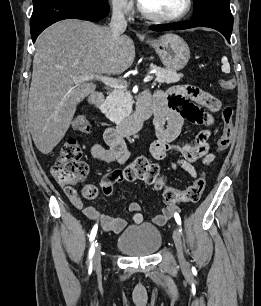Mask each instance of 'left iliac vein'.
Returning <instances> with one entry per match:
<instances>
[{"label": "left iliac vein", "instance_id": "1", "mask_svg": "<svg viewBox=\"0 0 261 306\" xmlns=\"http://www.w3.org/2000/svg\"><path fill=\"white\" fill-rule=\"evenodd\" d=\"M173 240H174V243H175V246H176V249H177V255H178L179 262L182 266H186L187 262H186V259L184 257V254H183L182 233L178 228L174 229V231H173Z\"/></svg>", "mask_w": 261, "mask_h": 306}]
</instances>
